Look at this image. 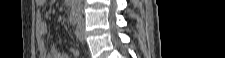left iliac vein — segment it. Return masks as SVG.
Returning a JSON list of instances; mask_svg holds the SVG:
<instances>
[{
    "label": "left iliac vein",
    "mask_w": 225,
    "mask_h": 58,
    "mask_svg": "<svg viewBox=\"0 0 225 58\" xmlns=\"http://www.w3.org/2000/svg\"><path fill=\"white\" fill-rule=\"evenodd\" d=\"M77 34H78L79 39H81V40L84 39L85 32H84V22L82 19H80L78 22Z\"/></svg>",
    "instance_id": "4c4485c4"
}]
</instances>
